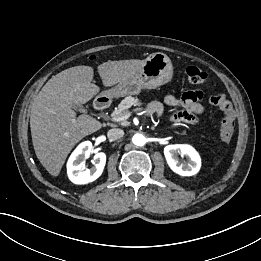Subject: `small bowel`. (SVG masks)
I'll return each mask as SVG.
<instances>
[{"mask_svg": "<svg viewBox=\"0 0 261 261\" xmlns=\"http://www.w3.org/2000/svg\"><path fill=\"white\" fill-rule=\"evenodd\" d=\"M202 97L201 91H188L183 94L180 100L168 97V104L180 107V110L173 115L174 120L190 124L197 123L198 116L204 111V107L200 104ZM149 109L158 114L162 112V106L157 102L151 103Z\"/></svg>", "mask_w": 261, "mask_h": 261, "instance_id": "small-bowel-1", "label": "small bowel"}]
</instances>
